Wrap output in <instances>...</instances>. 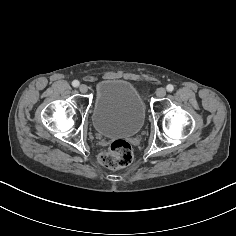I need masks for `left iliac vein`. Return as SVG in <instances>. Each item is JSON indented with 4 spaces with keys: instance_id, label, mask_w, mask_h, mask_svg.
I'll return each mask as SVG.
<instances>
[{
    "instance_id": "4c4485c4",
    "label": "left iliac vein",
    "mask_w": 236,
    "mask_h": 236,
    "mask_svg": "<svg viewBox=\"0 0 236 236\" xmlns=\"http://www.w3.org/2000/svg\"><path fill=\"white\" fill-rule=\"evenodd\" d=\"M156 95H157V97H159V98L164 97V96L166 95V89L163 88V87L158 88V89L156 90Z\"/></svg>"
}]
</instances>
